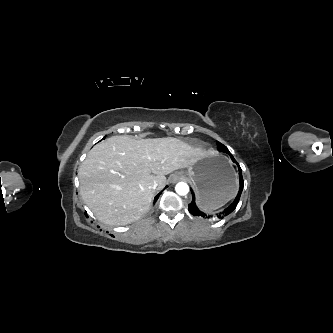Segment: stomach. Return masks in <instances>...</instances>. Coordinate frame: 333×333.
<instances>
[{
    "label": "stomach",
    "instance_id": "stomach-1",
    "mask_svg": "<svg viewBox=\"0 0 333 333\" xmlns=\"http://www.w3.org/2000/svg\"><path fill=\"white\" fill-rule=\"evenodd\" d=\"M197 202L204 209H212L231 198L236 190L235 171L227 158L207 153L188 168Z\"/></svg>",
    "mask_w": 333,
    "mask_h": 333
}]
</instances>
